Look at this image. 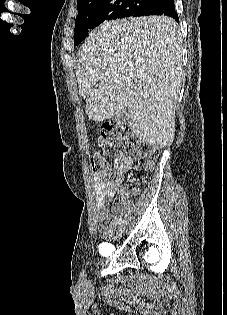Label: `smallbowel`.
Returning a JSON list of instances; mask_svg holds the SVG:
<instances>
[{
	"label": "small bowel",
	"instance_id": "1",
	"mask_svg": "<svg viewBox=\"0 0 227 315\" xmlns=\"http://www.w3.org/2000/svg\"><path fill=\"white\" fill-rule=\"evenodd\" d=\"M114 175L109 180H103L99 177H93V187L95 192V206L98 211L97 214V229L103 232L106 229L107 223L113 219L121 211V204H116L113 211L110 212L106 209V201L111 200L117 193H120L122 202L129 199L131 192L123 186L125 174L128 171H139V167L133 164L132 159L120 153L113 163ZM118 218H114L116 222Z\"/></svg>",
	"mask_w": 227,
	"mask_h": 315
}]
</instances>
